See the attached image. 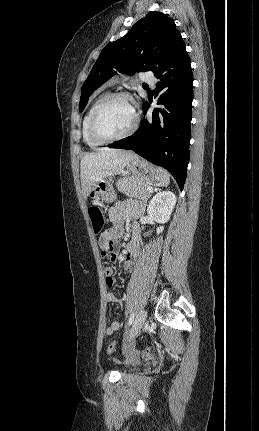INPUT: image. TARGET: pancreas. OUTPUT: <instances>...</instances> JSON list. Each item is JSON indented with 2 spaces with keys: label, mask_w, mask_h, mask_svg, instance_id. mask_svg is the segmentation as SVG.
I'll list each match as a JSON object with an SVG mask.
<instances>
[{
  "label": "pancreas",
  "mask_w": 259,
  "mask_h": 431,
  "mask_svg": "<svg viewBox=\"0 0 259 431\" xmlns=\"http://www.w3.org/2000/svg\"><path fill=\"white\" fill-rule=\"evenodd\" d=\"M116 186L120 192L129 197L147 200L151 196V193L148 192L150 186L138 178H121L117 181Z\"/></svg>",
  "instance_id": "obj_1"
}]
</instances>
